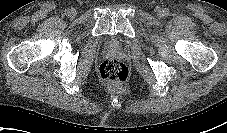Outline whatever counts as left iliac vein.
Listing matches in <instances>:
<instances>
[{
  "label": "left iliac vein",
  "instance_id": "4c4485c4",
  "mask_svg": "<svg viewBox=\"0 0 227 133\" xmlns=\"http://www.w3.org/2000/svg\"><path fill=\"white\" fill-rule=\"evenodd\" d=\"M156 11H157V14H158L159 16H163V15H164V10H163V9L157 8Z\"/></svg>",
  "mask_w": 227,
  "mask_h": 133
}]
</instances>
